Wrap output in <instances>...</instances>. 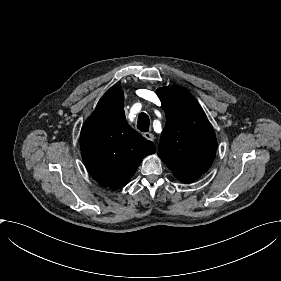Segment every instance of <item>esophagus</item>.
Segmentation results:
<instances>
[{
  "label": "esophagus",
  "instance_id": "esophagus-1",
  "mask_svg": "<svg viewBox=\"0 0 281 281\" xmlns=\"http://www.w3.org/2000/svg\"><path fill=\"white\" fill-rule=\"evenodd\" d=\"M143 136L150 141L154 140V135L152 133L146 132V133H143Z\"/></svg>",
  "mask_w": 281,
  "mask_h": 281
}]
</instances>
